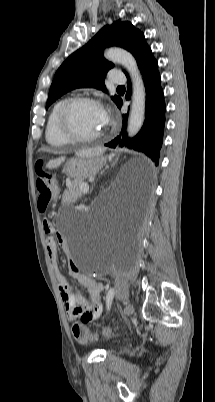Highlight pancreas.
Wrapping results in <instances>:
<instances>
[{
    "mask_svg": "<svg viewBox=\"0 0 215 402\" xmlns=\"http://www.w3.org/2000/svg\"><path fill=\"white\" fill-rule=\"evenodd\" d=\"M87 185L82 181H75L68 187V192H74L77 196H81V192H83L80 188V185Z\"/></svg>",
    "mask_w": 215,
    "mask_h": 402,
    "instance_id": "obj_1",
    "label": "pancreas"
}]
</instances>
